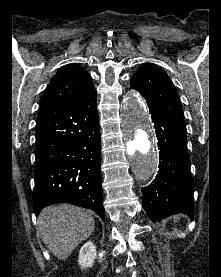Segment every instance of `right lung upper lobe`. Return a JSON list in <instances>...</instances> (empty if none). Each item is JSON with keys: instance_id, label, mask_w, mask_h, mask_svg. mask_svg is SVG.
<instances>
[{"instance_id": "1", "label": "right lung upper lobe", "mask_w": 221, "mask_h": 277, "mask_svg": "<svg viewBox=\"0 0 221 277\" xmlns=\"http://www.w3.org/2000/svg\"><path fill=\"white\" fill-rule=\"evenodd\" d=\"M95 93L91 76L79 65H66L48 84L40 108L81 101Z\"/></svg>"}]
</instances>
